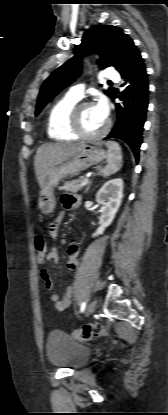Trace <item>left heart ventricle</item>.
I'll return each mask as SVG.
<instances>
[{"mask_svg":"<svg viewBox=\"0 0 168 415\" xmlns=\"http://www.w3.org/2000/svg\"><path fill=\"white\" fill-rule=\"evenodd\" d=\"M81 125L87 133H96L105 125L106 120L101 119L96 113L94 106L84 107L80 112Z\"/></svg>","mask_w":168,"mask_h":415,"instance_id":"obj_1","label":"left heart ventricle"}]
</instances>
